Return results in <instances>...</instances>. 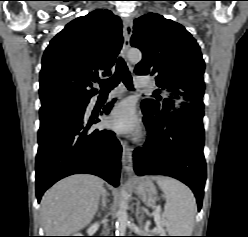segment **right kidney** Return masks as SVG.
Returning a JSON list of instances; mask_svg holds the SVG:
<instances>
[{"mask_svg": "<svg viewBox=\"0 0 248 237\" xmlns=\"http://www.w3.org/2000/svg\"><path fill=\"white\" fill-rule=\"evenodd\" d=\"M74 236H81V234H74Z\"/></svg>", "mask_w": 248, "mask_h": 237, "instance_id": "right-kidney-1", "label": "right kidney"}]
</instances>
